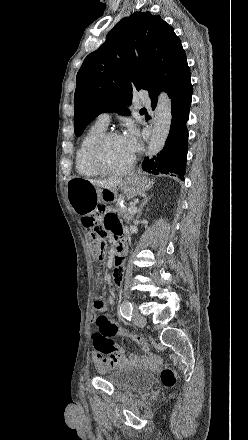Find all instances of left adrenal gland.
Here are the masks:
<instances>
[{"label":"left adrenal gland","instance_id":"1","mask_svg":"<svg viewBox=\"0 0 248 440\" xmlns=\"http://www.w3.org/2000/svg\"><path fill=\"white\" fill-rule=\"evenodd\" d=\"M149 200H150V197H145L143 203L140 205V207H139V209H138L137 218H139V217L141 216L142 209H143V207L148 203Z\"/></svg>","mask_w":248,"mask_h":440}]
</instances>
